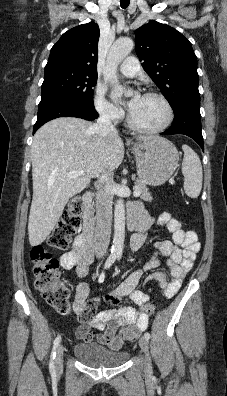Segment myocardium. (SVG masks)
Instances as JSON below:
<instances>
[{"label":"myocardium","instance_id":"myocardium-1","mask_svg":"<svg viewBox=\"0 0 227 396\" xmlns=\"http://www.w3.org/2000/svg\"><path fill=\"white\" fill-rule=\"evenodd\" d=\"M144 96L154 97V98L159 99L165 107L166 118H165L164 122L162 124H160L159 126L153 127V128H146V127H141L138 124H136L132 118L131 113H129L127 116V122H128L129 127L132 130L139 132V133H143V134H157V133H160V132L166 130L172 124L173 119H174V110H173V107H172L170 101L162 93H159L156 91H148L144 94Z\"/></svg>","mask_w":227,"mask_h":396}]
</instances>
